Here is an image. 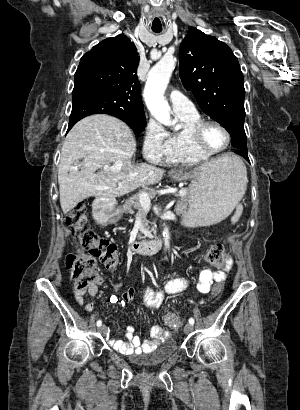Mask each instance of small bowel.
I'll return each mask as SVG.
<instances>
[{"label": "small bowel", "mask_w": 300, "mask_h": 410, "mask_svg": "<svg viewBox=\"0 0 300 410\" xmlns=\"http://www.w3.org/2000/svg\"><path fill=\"white\" fill-rule=\"evenodd\" d=\"M233 261L229 256H225L222 264L217 265L218 270H203L199 275L197 283V290L200 293L207 294L210 292L212 285L216 282H222L226 279L228 272L231 270ZM104 282L103 277L97 276L95 280L88 285L84 290H77L75 292V300L78 304L83 305L85 303V295L96 296L98 293V286ZM188 286V280L186 278H172L165 284L164 293L177 294L185 290ZM135 290L128 288L122 295V299L125 302L133 300ZM163 299L162 292L153 291L151 288H145L142 292V300L145 306L149 308H158ZM112 302L118 301L117 297H111ZM94 309V302L85 303V310L91 312ZM151 338L142 340L136 334V330L133 326L129 325L126 328V340H116L110 338L109 344L116 350L124 354L147 352L154 349L157 344L161 343L165 338L169 336V332L161 326H153L150 331Z\"/></svg>", "instance_id": "obj_1"}]
</instances>
